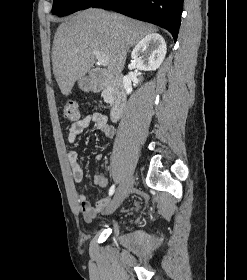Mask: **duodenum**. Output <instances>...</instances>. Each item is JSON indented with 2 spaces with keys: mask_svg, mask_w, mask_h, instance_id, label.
<instances>
[{
  "mask_svg": "<svg viewBox=\"0 0 247 280\" xmlns=\"http://www.w3.org/2000/svg\"><path fill=\"white\" fill-rule=\"evenodd\" d=\"M87 86L91 91L95 92L108 88L111 102V118L117 120L122 115L126 105V91L121 76H111L102 70L95 69L90 73Z\"/></svg>",
  "mask_w": 247,
  "mask_h": 280,
  "instance_id": "duodenum-1",
  "label": "duodenum"
}]
</instances>
